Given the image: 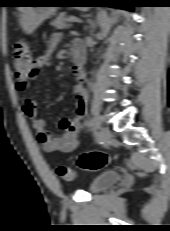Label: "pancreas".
<instances>
[{
    "label": "pancreas",
    "mask_w": 170,
    "mask_h": 231,
    "mask_svg": "<svg viewBox=\"0 0 170 231\" xmlns=\"http://www.w3.org/2000/svg\"><path fill=\"white\" fill-rule=\"evenodd\" d=\"M68 17H66V13H60L52 22L51 25L57 29H64L68 27L67 24Z\"/></svg>",
    "instance_id": "pancreas-1"
}]
</instances>
